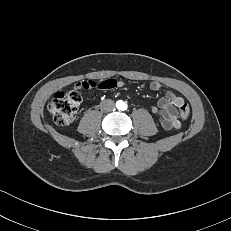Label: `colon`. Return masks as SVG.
<instances>
[{
    "label": "colon",
    "instance_id": "colon-1",
    "mask_svg": "<svg viewBox=\"0 0 231 231\" xmlns=\"http://www.w3.org/2000/svg\"><path fill=\"white\" fill-rule=\"evenodd\" d=\"M82 95L77 90L70 92H58L54 95L48 104V110L51 113L53 120L58 125H69L75 116L82 103ZM180 115L186 119L190 115V107L186 101L179 108Z\"/></svg>",
    "mask_w": 231,
    "mask_h": 231
}]
</instances>
